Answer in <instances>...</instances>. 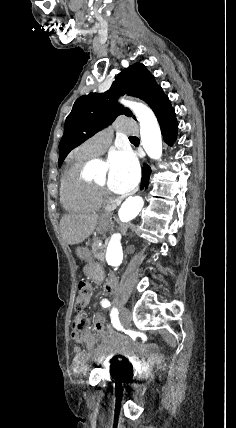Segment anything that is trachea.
Instances as JSON below:
<instances>
[{"instance_id":"obj_1","label":"trachea","mask_w":236,"mask_h":428,"mask_svg":"<svg viewBox=\"0 0 236 428\" xmlns=\"http://www.w3.org/2000/svg\"><path fill=\"white\" fill-rule=\"evenodd\" d=\"M129 138H134V139H136L137 137H129Z\"/></svg>"}]
</instances>
